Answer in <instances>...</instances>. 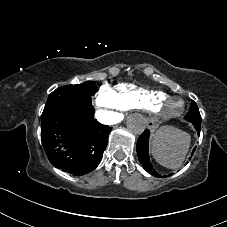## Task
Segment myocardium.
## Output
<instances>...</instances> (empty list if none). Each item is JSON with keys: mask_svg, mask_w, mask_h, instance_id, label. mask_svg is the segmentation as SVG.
Segmentation results:
<instances>
[{"mask_svg": "<svg viewBox=\"0 0 227 227\" xmlns=\"http://www.w3.org/2000/svg\"><path fill=\"white\" fill-rule=\"evenodd\" d=\"M184 107V102L175 97L167 96L157 101L150 112L157 118L169 119L178 115Z\"/></svg>", "mask_w": 227, "mask_h": 227, "instance_id": "obj_1", "label": "myocardium"}]
</instances>
